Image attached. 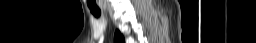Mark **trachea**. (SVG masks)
Listing matches in <instances>:
<instances>
[{
  "mask_svg": "<svg viewBox=\"0 0 256 43\" xmlns=\"http://www.w3.org/2000/svg\"><path fill=\"white\" fill-rule=\"evenodd\" d=\"M91 13L96 17V18H99L100 15H101V11L100 10H93V9H90Z\"/></svg>",
  "mask_w": 256,
  "mask_h": 43,
  "instance_id": "trachea-1",
  "label": "trachea"
}]
</instances>
